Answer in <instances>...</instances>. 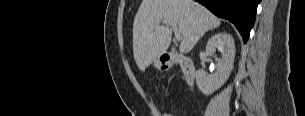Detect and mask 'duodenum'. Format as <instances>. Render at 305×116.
<instances>
[{"label":"duodenum","mask_w":305,"mask_h":116,"mask_svg":"<svg viewBox=\"0 0 305 116\" xmlns=\"http://www.w3.org/2000/svg\"><path fill=\"white\" fill-rule=\"evenodd\" d=\"M162 62L166 66H173L180 64L184 73L185 82L188 86H192L195 79V69L191 59L184 55H173L170 52H166L161 56Z\"/></svg>","instance_id":"duodenum-1"}]
</instances>
